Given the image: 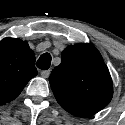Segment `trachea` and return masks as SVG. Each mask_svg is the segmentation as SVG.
<instances>
[{"instance_id":"3493384b","label":"trachea","mask_w":125,"mask_h":125,"mask_svg":"<svg viewBox=\"0 0 125 125\" xmlns=\"http://www.w3.org/2000/svg\"><path fill=\"white\" fill-rule=\"evenodd\" d=\"M51 60V55L49 53H44L39 57L37 67L41 70H47L50 67Z\"/></svg>"}]
</instances>
